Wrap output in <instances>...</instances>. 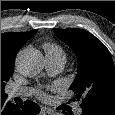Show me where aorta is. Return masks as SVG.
Listing matches in <instances>:
<instances>
[{
    "mask_svg": "<svg viewBox=\"0 0 115 115\" xmlns=\"http://www.w3.org/2000/svg\"><path fill=\"white\" fill-rule=\"evenodd\" d=\"M17 70L23 76H35L43 69V56L35 49H25L18 53L16 58ZM53 115H64L61 112H55Z\"/></svg>",
    "mask_w": 115,
    "mask_h": 115,
    "instance_id": "1",
    "label": "aorta"
}]
</instances>
